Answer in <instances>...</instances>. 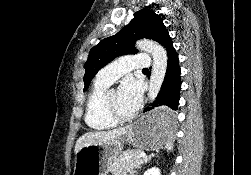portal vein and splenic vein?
<instances>
[{"mask_svg": "<svg viewBox=\"0 0 251 175\" xmlns=\"http://www.w3.org/2000/svg\"><path fill=\"white\" fill-rule=\"evenodd\" d=\"M139 157H146V153H139V156H136V159H139Z\"/></svg>", "mask_w": 251, "mask_h": 175, "instance_id": "18ae733b", "label": "portal vein and splenic vein"}]
</instances>
